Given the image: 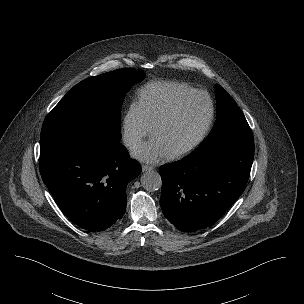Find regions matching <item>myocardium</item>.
Instances as JSON below:
<instances>
[{"instance_id":"myocardium-1","label":"myocardium","mask_w":304,"mask_h":304,"mask_svg":"<svg viewBox=\"0 0 304 304\" xmlns=\"http://www.w3.org/2000/svg\"><path fill=\"white\" fill-rule=\"evenodd\" d=\"M195 97H203L207 100L209 106L207 119L198 136L190 144H188L187 146H185L180 150H177L169 154V157L172 159H176L188 155L189 153L194 151L207 137L211 129V126L213 124V120L215 116V106L212 98L206 92L201 90H194L192 92H189L178 98L161 116H159L155 120V122L152 125V135L154 136L156 130L162 124H164L166 121L172 118L185 102Z\"/></svg>"}]
</instances>
